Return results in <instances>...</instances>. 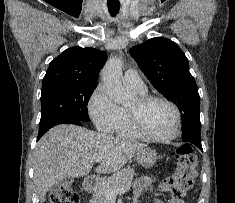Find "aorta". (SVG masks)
<instances>
[{
    "mask_svg": "<svg viewBox=\"0 0 235 203\" xmlns=\"http://www.w3.org/2000/svg\"><path fill=\"white\" fill-rule=\"evenodd\" d=\"M122 65L123 63L120 59L111 58L106 62L101 71V78L106 92L117 104H123L129 99V94L121 82Z\"/></svg>",
    "mask_w": 235,
    "mask_h": 203,
    "instance_id": "aorta-1",
    "label": "aorta"
}]
</instances>
